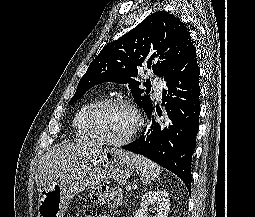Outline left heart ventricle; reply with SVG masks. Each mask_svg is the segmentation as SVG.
<instances>
[{
  "label": "left heart ventricle",
  "instance_id": "left-heart-ventricle-1",
  "mask_svg": "<svg viewBox=\"0 0 255 217\" xmlns=\"http://www.w3.org/2000/svg\"><path fill=\"white\" fill-rule=\"evenodd\" d=\"M135 115L125 106H110L100 112L97 118L101 132L110 139L126 137L135 125Z\"/></svg>",
  "mask_w": 255,
  "mask_h": 217
}]
</instances>
